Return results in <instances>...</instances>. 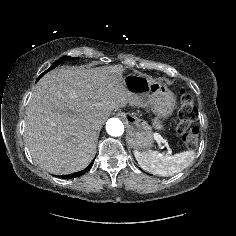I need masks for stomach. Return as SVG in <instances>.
Returning <instances> with one entry per match:
<instances>
[{
	"instance_id": "obj_1",
	"label": "stomach",
	"mask_w": 236,
	"mask_h": 236,
	"mask_svg": "<svg viewBox=\"0 0 236 236\" xmlns=\"http://www.w3.org/2000/svg\"><path fill=\"white\" fill-rule=\"evenodd\" d=\"M123 84L131 94L130 103L139 107L149 106L155 116L151 127L146 121L134 114H124L128 125L129 144L139 151L147 149L154 142L152 128L163 130V120L173 113L174 96L160 83L141 75L128 74L123 78Z\"/></svg>"
}]
</instances>
